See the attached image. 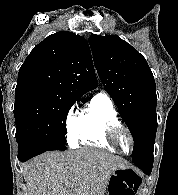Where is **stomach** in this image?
<instances>
[{
  "instance_id": "0dacf381",
  "label": "stomach",
  "mask_w": 178,
  "mask_h": 195,
  "mask_svg": "<svg viewBox=\"0 0 178 195\" xmlns=\"http://www.w3.org/2000/svg\"><path fill=\"white\" fill-rule=\"evenodd\" d=\"M132 173H134L133 170L129 168L116 169L110 176L107 186V195L126 194L127 191L124 189H129L126 180Z\"/></svg>"
}]
</instances>
